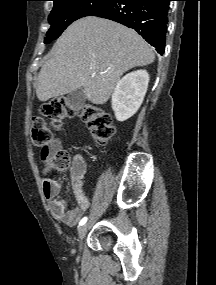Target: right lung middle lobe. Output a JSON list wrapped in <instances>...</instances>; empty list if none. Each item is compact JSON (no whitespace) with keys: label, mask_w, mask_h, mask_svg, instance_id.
<instances>
[{"label":"right lung middle lobe","mask_w":216,"mask_h":285,"mask_svg":"<svg viewBox=\"0 0 216 285\" xmlns=\"http://www.w3.org/2000/svg\"><path fill=\"white\" fill-rule=\"evenodd\" d=\"M53 9L48 17L51 25L45 37V44L57 39L75 20L88 16L112 0H52Z\"/></svg>","instance_id":"obj_1"}]
</instances>
